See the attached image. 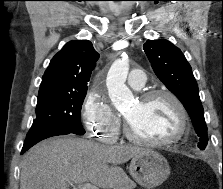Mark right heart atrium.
<instances>
[{
    "instance_id": "d8ad5b80",
    "label": "right heart atrium",
    "mask_w": 223,
    "mask_h": 189,
    "mask_svg": "<svg viewBox=\"0 0 223 189\" xmlns=\"http://www.w3.org/2000/svg\"><path fill=\"white\" fill-rule=\"evenodd\" d=\"M81 114L86 128L95 138L106 143L115 141L121 120L103 95L89 92Z\"/></svg>"
}]
</instances>
